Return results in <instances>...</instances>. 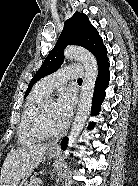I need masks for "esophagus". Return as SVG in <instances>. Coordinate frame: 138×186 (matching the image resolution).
I'll use <instances>...</instances> for the list:
<instances>
[{
	"label": "esophagus",
	"instance_id": "34e87169",
	"mask_svg": "<svg viewBox=\"0 0 138 186\" xmlns=\"http://www.w3.org/2000/svg\"><path fill=\"white\" fill-rule=\"evenodd\" d=\"M52 147H53V148H57V145H56V144H54Z\"/></svg>",
	"mask_w": 138,
	"mask_h": 186
}]
</instances>
